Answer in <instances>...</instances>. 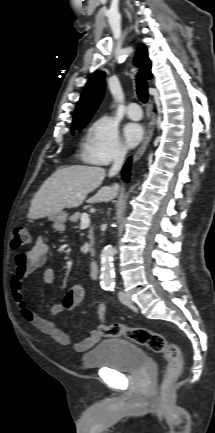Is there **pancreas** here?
Returning a JSON list of instances; mask_svg holds the SVG:
<instances>
[{
    "instance_id": "obj_1",
    "label": "pancreas",
    "mask_w": 215,
    "mask_h": 433,
    "mask_svg": "<svg viewBox=\"0 0 215 433\" xmlns=\"http://www.w3.org/2000/svg\"><path fill=\"white\" fill-rule=\"evenodd\" d=\"M82 215L83 214H81V213H79V212H76L73 216H71L70 218H69V220L71 221V222H73V223H76V222H78V220L79 219H81V217H82ZM89 239H90V252H91V254H92V256H94V249L92 248V246H93V244H94V241H93V233H92V230H90V234H89Z\"/></svg>"
}]
</instances>
